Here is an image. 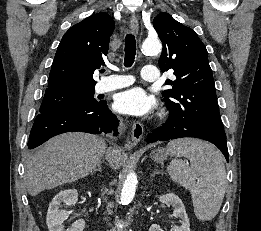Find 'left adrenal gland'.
<instances>
[{
	"label": "left adrenal gland",
	"instance_id": "obj_1",
	"mask_svg": "<svg viewBox=\"0 0 261 231\" xmlns=\"http://www.w3.org/2000/svg\"><path fill=\"white\" fill-rule=\"evenodd\" d=\"M156 174H162L158 169H154L153 174L151 175V178H153Z\"/></svg>",
	"mask_w": 261,
	"mask_h": 231
}]
</instances>
